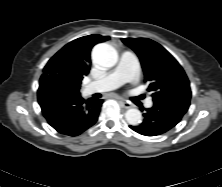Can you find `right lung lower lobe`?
<instances>
[{
    "instance_id": "1",
    "label": "right lung lower lobe",
    "mask_w": 222,
    "mask_h": 187,
    "mask_svg": "<svg viewBox=\"0 0 222 187\" xmlns=\"http://www.w3.org/2000/svg\"><path fill=\"white\" fill-rule=\"evenodd\" d=\"M38 102L47 122L59 133L77 136L95 124L103 100H84L79 92L68 89L59 76L40 79Z\"/></svg>"
}]
</instances>
